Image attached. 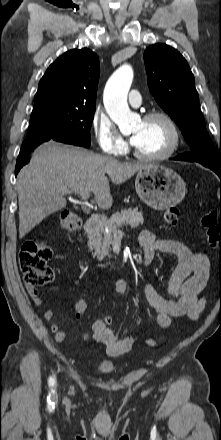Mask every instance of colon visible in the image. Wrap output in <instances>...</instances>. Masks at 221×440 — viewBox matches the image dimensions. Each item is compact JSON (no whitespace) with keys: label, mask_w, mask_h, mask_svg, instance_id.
<instances>
[{"label":"colon","mask_w":221,"mask_h":440,"mask_svg":"<svg viewBox=\"0 0 221 440\" xmlns=\"http://www.w3.org/2000/svg\"><path fill=\"white\" fill-rule=\"evenodd\" d=\"M182 218V212L177 207H170L165 210L163 219L168 225H176ZM202 225L206 229V240L210 248L221 247V221L217 225V220L212 214H207L202 218ZM81 226L80 217L73 212H63L60 217V227L65 232H72ZM52 258L51 248L44 242L37 239H30L23 243L19 256V268L24 276L26 284L31 287L42 286L53 279L54 273L49 266ZM87 302L79 300L75 304L76 315L81 316L87 310ZM104 324L113 327V315H104Z\"/></svg>","instance_id":"5ec220e1"}]
</instances>
